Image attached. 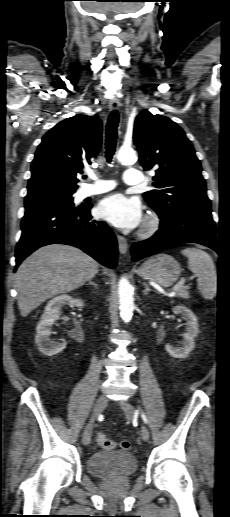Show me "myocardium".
I'll list each match as a JSON object with an SVG mask.
<instances>
[{"label":"myocardium","instance_id":"obj_1","mask_svg":"<svg viewBox=\"0 0 230 517\" xmlns=\"http://www.w3.org/2000/svg\"><path fill=\"white\" fill-rule=\"evenodd\" d=\"M160 227V218L155 212H150L144 219L140 235L149 237L155 234Z\"/></svg>","mask_w":230,"mask_h":517}]
</instances>
